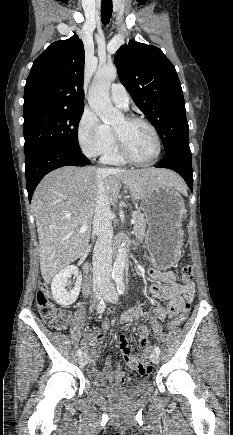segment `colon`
I'll use <instances>...</instances> for the list:
<instances>
[{
  "label": "colon",
  "instance_id": "colon-1",
  "mask_svg": "<svg viewBox=\"0 0 233 435\" xmlns=\"http://www.w3.org/2000/svg\"><path fill=\"white\" fill-rule=\"evenodd\" d=\"M193 267L189 264L185 265L181 269V280L189 286L192 283ZM35 302L38 311L42 319L48 324L49 327L56 330H61L68 324L71 314L66 309L55 307L50 301V289L46 283H40L36 292ZM190 302L186 301L181 309V312L177 318L174 319V323L179 324L189 313ZM145 371H151V366L147 363L140 362L138 364V373ZM135 380H129L125 384H135Z\"/></svg>",
  "mask_w": 233,
  "mask_h": 435
}]
</instances>
